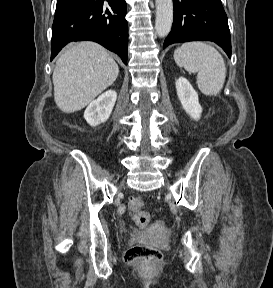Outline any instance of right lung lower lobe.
<instances>
[{
    "label": "right lung lower lobe",
    "mask_w": 273,
    "mask_h": 288,
    "mask_svg": "<svg viewBox=\"0 0 273 288\" xmlns=\"http://www.w3.org/2000/svg\"><path fill=\"white\" fill-rule=\"evenodd\" d=\"M125 0H57L52 26L51 60L71 41H95L127 64L128 24Z\"/></svg>",
    "instance_id": "98d812e1"
}]
</instances>
